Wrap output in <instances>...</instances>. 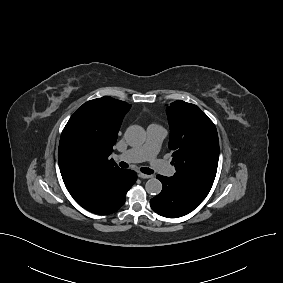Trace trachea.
I'll return each instance as SVG.
<instances>
[{
	"mask_svg": "<svg viewBox=\"0 0 283 283\" xmlns=\"http://www.w3.org/2000/svg\"><path fill=\"white\" fill-rule=\"evenodd\" d=\"M119 166L122 167V168H128L129 165L123 161L119 162ZM141 172L144 173V174H152L154 171L150 168H140Z\"/></svg>",
	"mask_w": 283,
	"mask_h": 283,
	"instance_id": "trachea-1",
	"label": "trachea"
}]
</instances>
